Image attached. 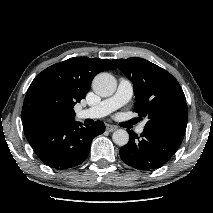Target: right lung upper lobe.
Instances as JSON below:
<instances>
[{"label":"right lung upper lobe","instance_id":"cb5924a9","mask_svg":"<svg viewBox=\"0 0 213 213\" xmlns=\"http://www.w3.org/2000/svg\"><path fill=\"white\" fill-rule=\"evenodd\" d=\"M116 69L108 59L74 57L54 64L40 72L32 81L23 104L22 119L50 124L74 121V105L85 98L94 76L102 71ZM51 102L52 109L38 116L39 103Z\"/></svg>","mask_w":213,"mask_h":213}]
</instances>
